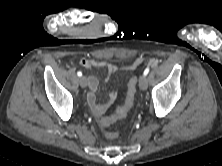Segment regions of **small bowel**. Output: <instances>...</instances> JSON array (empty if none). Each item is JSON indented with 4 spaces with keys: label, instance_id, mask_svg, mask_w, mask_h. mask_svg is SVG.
<instances>
[{
    "label": "small bowel",
    "instance_id": "1",
    "mask_svg": "<svg viewBox=\"0 0 222 166\" xmlns=\"http://www.w3.org/2000/svg\"><path fill=\"white\" fill-rule=\"evenodd\" d=\"M143 62L144 59L139 57L132 64L125 66L122 70L125 72H131L135 70ZM79 63L81 66L88 69L106 68L108 71V77L118 70L116 65L107 63L105 61H96L93 59H81ZM88 86H89V92L87 94V103L90 107L92 114L95 117L100 118L107 111V109L116 101L118 93L117 91L114 90L110 91L107 101L104 103H100L97 101L96 97V92L99 86V81L97 77L90 75L88 77Z\"/></svg>",
    "mask_w": 222,
    "mask_h": 166
}]
</instances>
